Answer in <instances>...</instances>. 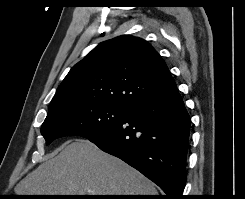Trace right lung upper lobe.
Instances as JSON below:
<instances>
[{
    "mask_svg": "<svg viewBox=\"0 0 245 199\" xmlns=\"http://www.w3.org/2000/svg\"><path fill=\"white\" fill-rule=\"evenodd\" d=\"M177 88L161 56L145 40L120 36L95 47L59 85L49 114L84 103L129 109Z\"/></svg>",
    "mask_w": 245,
    "mask_h": 199,
    "instance_id": "right-lung-upper-lobe-1",
    "label": "right lung upper lobe"
}]
</instances>
